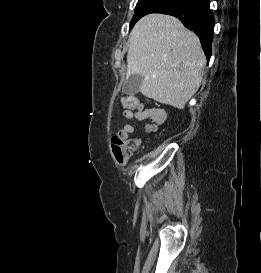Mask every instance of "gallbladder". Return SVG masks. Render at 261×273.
<instances>
[{
	"instance_id": "bac80fb5",
	"label": "gallbladder",
	"mask_w": 261,
	"mask_h": 273,
	"mask_svg": "<svg viewBox=\"0 0 261 273\" xmlns=\"http://www.w3.org/2000/svg\"><path fill=\"white\" fill-rule=\"evenodd\" d=\"M143 77L139 74L131 75L123 84L122 92L129 96H134L139 92Z\"/></svg>"
}]
</instances>
